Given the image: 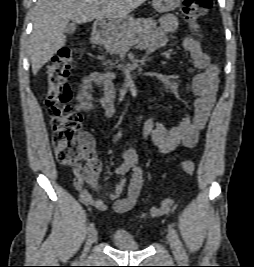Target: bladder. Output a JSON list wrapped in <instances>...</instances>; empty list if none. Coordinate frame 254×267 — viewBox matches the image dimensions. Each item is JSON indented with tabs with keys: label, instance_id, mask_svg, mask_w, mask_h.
<instances>
[{
	"label": "bladder",
	"instance_id": "31cf9c89",
	"mask_svg": "<svg viewBox=\"0 0 254 267\" xmlns=\"http://www.w3.org/2000/svg\"><path fill=\"white\" fill-rule=\"evenodd\" d=\"M111 243L114 247L124 251H137L140 250L141 245L131 234L116 230L111 234Z\"/></svg>",
	"mask_w": 254,
	"mask_h": 267
}]
</instances>
